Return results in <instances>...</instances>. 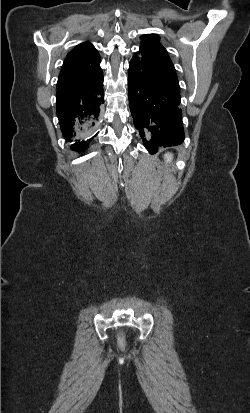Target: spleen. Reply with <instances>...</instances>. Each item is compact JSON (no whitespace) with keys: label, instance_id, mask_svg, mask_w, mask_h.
<instances>
[{"label":"spleen","instance_id":"3e777b00","mask_svg":"<svg viewBox=\"0 0 250 413\" xmlns=\"http://www.w3.org/2000/svg\"><path fill=\"white\" fill-rule=\"evenodd\" d=\"M164 157H165L166 162L168 163L172 162V159H173L172 153H166Z\"/></svg>","mask_w":250,"mask_h":413}]
</instances>
